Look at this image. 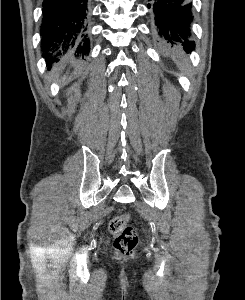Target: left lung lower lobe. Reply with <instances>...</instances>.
<instances>
[{
    "instance_id": "left-lung-lower-lobe-1",
    "label": "left lung lower lobe",
    "mask_w": 245,
    "mask_h": 300,
    "mask_svg": "<svg viewBox=\"0 0 245 300\" xmlns=\"http://www.w3.org/2000/svg\"><path fill=\"white\" fill-rule=\"evenodd\" d=\"M148 8H153L155 25L163 42L181 45L187 53L195 49L194 41L188 40L192 21L189 0H155Z\"/></svg>"
}]
</instances>
